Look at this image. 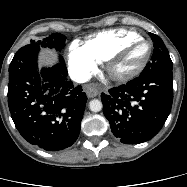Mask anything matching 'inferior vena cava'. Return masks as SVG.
<instances>
[{"instance_id":"1","label":"inferior vena cava","mask_w":187,"mask_h":187,"mask_svg":"<svg viewBox=\"0 0 187 187\" xmlns=\"http://www.w3.org/2000/svg\"><path fill=\"white\" fill-rule=\"evenodd\" d=\"M70 78L77 83H85L90 80L91 75L81 70H71L69 72Z\"/></svg>"}]
</instances>
